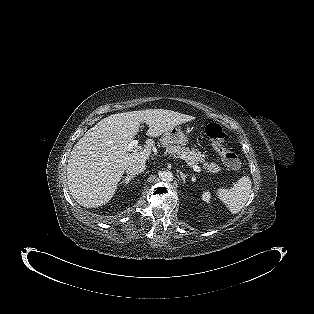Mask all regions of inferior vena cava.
<instances>
[{
	"instance_id": "obj_1",
	"label": "inferior vena cava",
	"mask_w": 314,
	"mask_h": 314,
	"mask_svg": "<svg viewBox=\"0 0 314 314\" xmlns=\"http://www.w3.org/2000/svg\"><path fill=\"white\" fill-rule=\"evenodd\" d=\"M145 168H146L145 162H134L127 166L126 173L130 176H135L136 174L143 172Z\"/></svg>"
}]
</instances>
